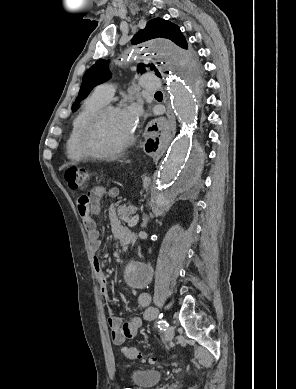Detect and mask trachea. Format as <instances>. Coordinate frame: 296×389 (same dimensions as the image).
I'll return each instance as SVG.
<instances>
[{
    "instance_id": "obj_1",
    "label": "trachea",
    "mask_w": 296,
    "mask_h": 389,
    "mask_svg": "<svg viewBox=\"0 0 296 389\" xmlns=\"http://www.w3.org/2000/svg\"><path fill=\"white\" fill-rule=\"evenodd\" d=\"M156 95H162V92L158 91L155 93Z\"/></svg>"
}]
</instances>
